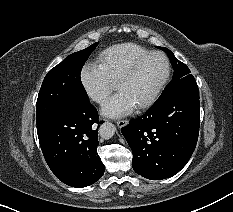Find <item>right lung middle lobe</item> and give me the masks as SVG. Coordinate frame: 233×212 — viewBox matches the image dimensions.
<instances>
[{"mask_svg":"<svg viewBox=\"0 0 233 212\" xmlns=\"http://www.w3.org/2000/svg\"><path fill=\"white\" fill-rule=\"evenodd\" d=\"M97 45L98 42L84 50L70 54L47 73L36 104L37 126L64 109L89 102L88 95L80 81V73Z\"/></svg>","mask_w":233,"mask_h":212,"instance_id":"1","label":"right lung middle lobe"}]
</instances>
